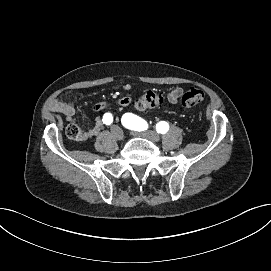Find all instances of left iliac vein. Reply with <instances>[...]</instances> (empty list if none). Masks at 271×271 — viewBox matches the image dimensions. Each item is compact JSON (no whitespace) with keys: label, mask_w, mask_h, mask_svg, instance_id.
<instances>
[{"label":"left iliac vein","mask_w":271,"mask_h":271,"mask_svg":"<svg viewBox=\"0 0 271 271\" xmlns=\"http://www.w3.org/2000/svg\"><path fill=\"white\" fill-rule=\"evenodd\" d=\"M135 136L144 137L152 142H158L160 140V136L155 131H143V132H132Z\"/></svg>","instance_id":"left-iliac-vein-1"}]
</instances>
